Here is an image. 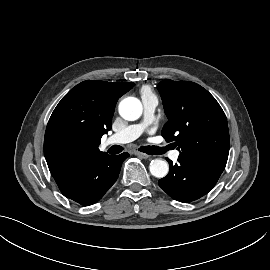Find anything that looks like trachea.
I'll return each mask as SVG.
<instances>
[{
  "mask_svg": "<svg viewBox=\"0 0 270 270\" xmlns=\"http://www.w3.org/2000/svg\"><path fill=\"white\" fill-rule=\"evenodd\" d=\"M122 150L123 148L121 146L114 145L113 147L110 148L109 152L110 154H118ZM138 150L149 155H161L166 152L167 148L158 146H142Z\"/></svg>",
  "mask_w": 270,
  "mask_h": 270,
  "instance_id": "trachea-1",
  "label": "trachea"
}]
</instances>
